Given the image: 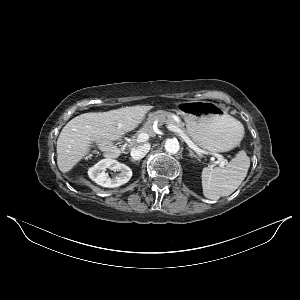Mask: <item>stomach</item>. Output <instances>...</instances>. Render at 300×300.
I'll list each match as a JSON object with an SVG mask.
<instances>
[{"label":"stomach","instance_id":"1","mask_svg":"<svg viewBox=\"0 0 300 300\" xmlns=\"http://www.w3.org/2000/svg\"><path fill=\"white\" fill-rule=\"evenodd\" d=\"M188 134L201 147L213 152H226L236 147L243 134L233 117L222 106L210 101H189L180 104ZM162 111L149 114V120Z\"/></svg>","mask_w":300,"mask_h":300}]
</instances>
